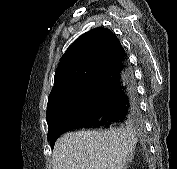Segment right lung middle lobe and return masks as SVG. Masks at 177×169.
Segmentation results:
<instances>
[{
  "mask_svg": "<svg viewBox=\"0 0 177 169\" xmlns=\"http://www.w3.org/2000/svg\"><path fill=\"white\" fill-rule=\"evenodd\" d=\"M92 91L93 87L88 81L77 87L66 98L47 106L48 140L51 139L61 122L79 113L87 106L92 97Z\"/></svg>",
  "mask_w": 177,
  "mask_h": 169,
  "instance_id": "obj_1",
  "label": "right lung middle lobe"
}]
</instances>
